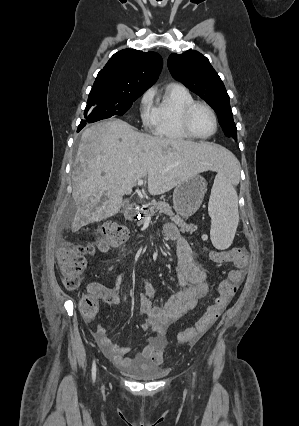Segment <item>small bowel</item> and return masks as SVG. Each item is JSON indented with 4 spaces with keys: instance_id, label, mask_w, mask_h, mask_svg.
<instances>
[{
    "instance_id": "c3829d8e",
    "label": "small bowel",
    "mask_w": 299,
    "mask_h": 426,
    "mask_svg": "<svg viewBox=\"0 0 299 426\" xmlns=\"http://www.w3.org/2000/svg\"><path fill=\"white\" fill-rule=\"evenodd\" d=\"M165 236L173 241L176 246L177 260L174 270L180 286L163 306H155L153 299L155 291L152 285L143 280V292L140 296V310L145 316L141 329L151 331L144 348L128 356L130 347L113 343L106 335V329L100 325L95 326L93 333L103 354L120 367L142 365L146 367L159 366L164 360V345L166 330L170 324L180 320L192 310L208 291L207 271L193 259L189 242L180 234L174 224L164 227ZM120 280L117 276L111 287L101 284H92L90 290L96 293L108 306L113 307L119 303Z\"/></svg>"
}]
</instances>
